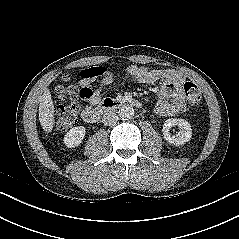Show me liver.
<instances>
[{"mask_svg": "<svg viewBox=\"0 0 239 239\" xmlns=\"http://www.w3.org/2000/svg\"><path fill=\"white\" fill-rule=\"evenodd\" d=\"M39 121L42 129L46 133L52 131L54 125V105L49 89H45L43 95L40 98Z\"/></svg>", "mask_w": 239, "mask_h": 239, "instance_id": "6515ba94", "label": "liver"}]
</instances>
